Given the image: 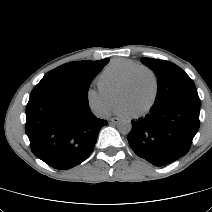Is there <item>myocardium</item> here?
Instances as JSON below:
<instances>
[{
    "label": "myocardium",
    "instance_id": "1",
    "mask_svg": "<svg viewBox=\"0 0 212 212\" xmlns=\"http://www.w3.org/2000/svg\"><path fill=\"white\" fill-rule=\"evenodd\" d=\"M142 72L147 73L151 77V80L153 83V92H152V96H151V99L148 102V104L142 110L133 113L134 117H142V116L146 115L147 113H149L152 110V108L154 107V105L157 101V98H158V93H159V80H158L156 73L149 67L139 66L138 68H136L135 70H133L130 73L128 78L125 80V82L120 87L119 92H118V98H120V95L133 84L136 76Z\"/></svg>",
    "mask_w": 212,
    "mask_h": 212
}]
</instances>
